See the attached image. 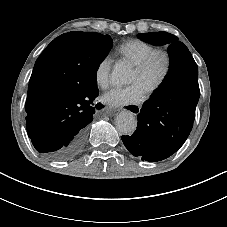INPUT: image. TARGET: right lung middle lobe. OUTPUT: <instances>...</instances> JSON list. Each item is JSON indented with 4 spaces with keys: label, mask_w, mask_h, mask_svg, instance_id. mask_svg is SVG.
I'll list each match as a JSON object with an SVG mask.
<instances>
[{
    "label": "right lung middle lobe",
    "mask_w": 227,
    "mask_h": 227,
    "mask_svg": "<svg viewBox=\"0 0 227 227\" xmlns=\"http://www.w3.org/2000/svg\"><path fill=\"white\" fill-rule=\"evenodd\" d=\"M112 43L109 35L68 32L55 38L39 58L72 70L76 79L70 93L82 95L98 89L97 70L108 55Z\"/></svg>",
    "instance_id": "right-lung-middle-lobe-1"
}]
</instances>
